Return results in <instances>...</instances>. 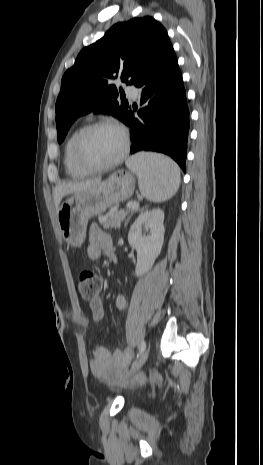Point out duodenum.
<instances>
[{
	"mask_svg": "<svg viewBox=\"0 0 263 465\" xmlns=\"http://www.w3.org/2000/svg\"><path fill=\"white\" fill-rule=\"evenodd\" d=\"M110 257H111L113 260H115V255H114V253H111Z\"/></svg>",
	"mask_w": 263,
	"mask_h": 465,
	"instance_id": "1",
	"label": "duodenum"
}]
</instances>
